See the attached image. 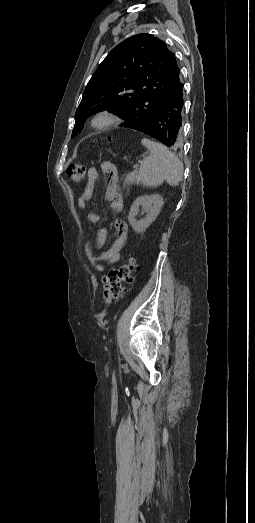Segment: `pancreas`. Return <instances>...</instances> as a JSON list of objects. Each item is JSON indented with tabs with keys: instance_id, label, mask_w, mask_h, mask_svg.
Instances as JSON below:
<instances>
[{
	"instance_id": "cf45deb5",
	"label": "pancreas",
	"mask_w": 255,
	"mask_h": 523,
	"mask_svg": "<svg viewBox=\"0 0 255 523\" xmlns=\"http://www.w3.org/2000/svg\"><path fill=\"white\" fill-rule=\"evenodd\" d=\"M138 180V176L137 174H134L132 172V174H127L125 180H124V186H129V184H136Z\"/></svg>"
}]
</instances>
